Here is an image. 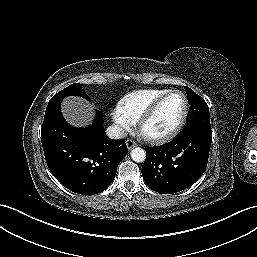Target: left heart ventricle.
<instances>
[{
  "instance_id": "1",
  "label": "left heart ventricle",
  "mask_w": 257,
  "mask_h": 257,
  "mask_svg": "<svg viewBox=\"0 0 257 257\" xmlns=\"http://www.w3.org/2000/svg\"><path fill=\"white\" fill-rule=\"evenodd\" d=\"M183 109L184 100L180 94L169 96L146 123L145 132L154 136L169 132L180 120Z\"/></svg>"
}]
</instances>
